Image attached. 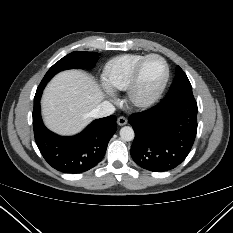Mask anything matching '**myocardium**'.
<instances>
[{
  "label": "myocardium",
  "mask_w": 233,
  "mask_h": 233,
  "mask_svg": "<svg viewBox=\"0 0 233 233\" xmlns=\"http://www.w3.org/2000/svg\"><path fill=\"white\" fill-rule=\"evenodd\" d=\"M151 58L160 59L165 66V75L159 86L149 94H143L140 89V77L146 62ZM170 77V68L167 61L159 54L146 55L136 66L127 88L128 102L137 108H147L153 105L163 94Z\"/></svg>",
  "instance_id": "myocardium-1"
}]
</instances>
